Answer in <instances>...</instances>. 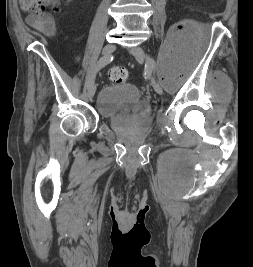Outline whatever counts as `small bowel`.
<instances>
[{
    "mask_svg": "<svg viewBox=\"0 0 253 267\" xmlns=\"http://www.w3.org/2000/svg\"><path fill=\"white\" fill-rule=\"evenodd\" d=\"M27 24L42 33L48 38H53L56 34L55 23L50 14L35 15L31 14L26 19Z\"/></svg>",
    "mask_w": 253,
    "mask_h": 267,
    "instance_id": "small-bowel-1",
    "label": "small bowel"
}]
</instances>
